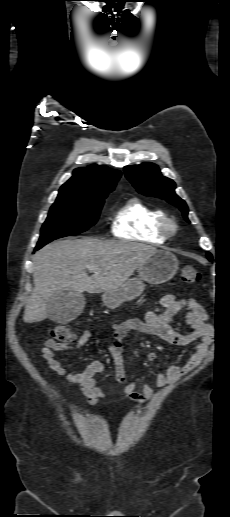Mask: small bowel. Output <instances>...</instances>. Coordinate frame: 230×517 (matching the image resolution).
Instances as JSON below:
<instances>
[{
    "label": "small bowel",
    "mask_w": 230,
    "mask_h": 517,
    "mask_svg": "<svg viewBox=\"0 0 230 517\" xmlns=\"http://www.w3.org/2000/svg\"><path fill=\"white\" fill-rule=\"evenodd\" d=\"M160 311H149L144 320L133 318L111 326L112 342L109 345V353L114 362L116 380L124 385L122 395L132 401L143 403L153 394V388L143 383L138 391L136 381H127L123 359V340L130 331H139L149 335L158 336L168 343L178 346H189L188 360L182 364L176 362L166 370L159 371L155 386L162 388L176 383L180 378L194 370L205 359L209 352V346L214 339V329L207 323V314L201 304L190 297L176 298L167 294L160 299ZM187 309L185 322L191 328L187 334L176 332L171 327L174 316L181 310ZM92 337L89 330L82 332L77 347L85 346ZM70 347L53 339H47L41 349L40 356L47 367L59 376L65 377L71 384L79 387L88 403L96 407L100 399L109 398L97 385L95 376L104 372L105 365L101 361L91 362L84 370L69 373L56 358V353L69 350ZM157 358L155 352H149L147 359L154 361Z\"/></svg>",
    "instance_id": "1"
}]
</instances>
